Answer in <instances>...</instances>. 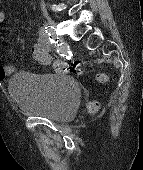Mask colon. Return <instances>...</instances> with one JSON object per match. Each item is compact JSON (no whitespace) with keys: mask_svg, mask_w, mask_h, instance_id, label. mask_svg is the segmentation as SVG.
I'll list each match as a JSON object with an SVG mask.
<instances>
[{"mask_svg":"<svg viewBox=\"0 0 143 170\" xmlns=\"http://www.w3.org/2000/svg\"><path fill=\"white\" fill-rule=\"evenodd\" d=\"M67 69H71L73 72H76V73L81 72V66H80L79 63H74V64L72 65V67H70V68L68 67V65H67L65 62H59V63L57 64V70L62 71V70H67ZM100 80H105V77H104V76H101V77H100ZM91 108H92V109H95L96 106H95V105H92Z\"/></svg>","mask_w":143,"mask_h":170,"instance_id":"obj_1","label":"colon"}]
</instances>
